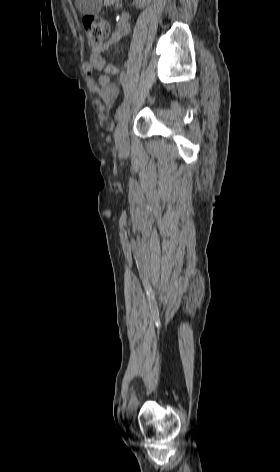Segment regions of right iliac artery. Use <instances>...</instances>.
<instances>
[{"mask_svg":"<svg viewBox=\"0 0 280 472\" xmlns=\"http://www.w3.org/2000/svg\"><path fill=\"white\" fill-rule=\"evenodd\" d=\"M120 83L124 89V100L121 103V105L118 107L115 119L118 120L120 119L122 113L125 111L127 108L129 101H130V95H129V90H128V82H127V77L125 72H121L120 74Z\"/></svg>","mask_w":280,"mask_h":472,"instance_id":"1","label":"right iliac artery"}]
</instances>
